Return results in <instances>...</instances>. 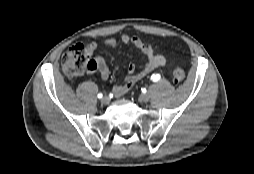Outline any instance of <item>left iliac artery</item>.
Listing matches in <instances>:
<instances>
[{
  "label": "left iliac artery",
  "mask_w": 254,
  "mask_h": 174,
  "mask_svg": "<svg viewBox=\"0 0 254 174\" xmlns=\"http://www.w3.org/2000/svg\"><path fill=\"white\" fill-rule=\"evenodd\" d=\"M160 79V75L159 74H153L151 76V80H153L154 82L158 81Z\"/></svg>",
  "instance_id": "left-iliac-artery-1"
}]
</instances>
